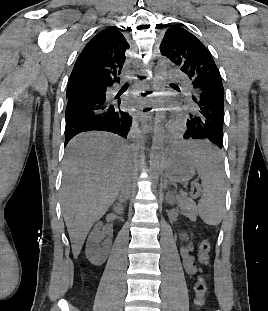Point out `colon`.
I'll return each instance as SVG.
<instances>
[{
	"label": "colon",
	"mask_w": 268,
	"mask_h": 311,
	"mask_svg": "<svg viewBox=\"0 0 268 311\" xmlns=\"http://www.w3.org/2000/svg\"><path fill=\"white\" fill-rule=\"evenodd\" d=\"M211 243L208 239L202 240L198 249V257L202 264L206 265L210 259ZM207 291L206 281L202 275L198 277L194 284L195 304L202 307L205 303V295Z\"/></svg>",
	"instance_id": "5ec220e1"
}]
</instances>
